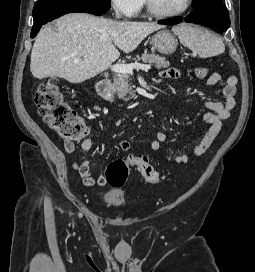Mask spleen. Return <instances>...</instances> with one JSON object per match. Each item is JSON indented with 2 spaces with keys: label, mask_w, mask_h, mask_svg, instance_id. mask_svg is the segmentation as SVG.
<instances>
[{
  "label": "spleen",
  "mask_w": 255,
  "mask_h": 272,
  "mask_svg": "<svg viewBox=\"0 0 255 272\" xmlns=\"http://www.w3.org/2000/svg\"><path fill=\"white\" fill-rule=\"evenodd\" d=\"M172 30L184 46L198 53L201 58L216 56L225 50L222 39L201 27L183 23Z\"/></svg>",
  "instance_id": "spleen-1"
}]
</instances>
